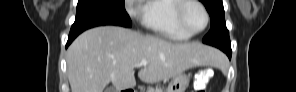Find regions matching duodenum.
Returning <instances> with one entry per match:
<instances>
[{
	"label": "duodenum",
	"instance_id": "obj_1",
	"mask_svg": "<svg viewBox=\"0 0 296 92\" xmlns=\"http://www.w3.org/2000/svg\"><path fill=\"white\" fill-rule=\"evenodd\" d=\"M124 92H135V90L133 88H128V89H125Z\"/></svg>",
	"mask_w": 296,
	"mask_h": 92
}]
</instances>
